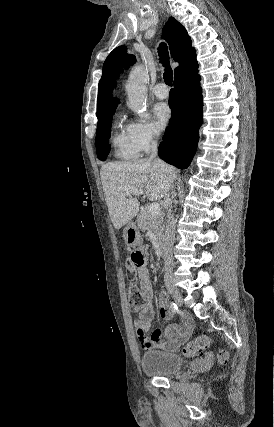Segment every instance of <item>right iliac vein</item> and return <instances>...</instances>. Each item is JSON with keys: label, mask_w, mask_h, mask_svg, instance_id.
Here are the masks:
<instances>
[{"label": "right iliac vein", "mask_w": 274, "mask_h": 427, "mask_svg": "<svg viewBox=\"0 0 274 427\" xmlns=\"http://www.w3.org/2000/svg\"><path fill=\"white\" fill-rule=\"evenodd\" d=\"M166 286H167V289L170 292V294L173 296V298H174L175 302L177 303V305L179 307H182L183 306V298H182V295L179 292L178 288L173 285L172 281H168L166 283Z\"/></svg>", "instance_id": "1"}]
</instances>
